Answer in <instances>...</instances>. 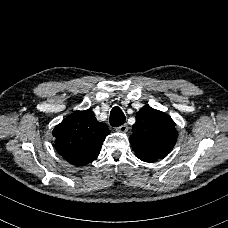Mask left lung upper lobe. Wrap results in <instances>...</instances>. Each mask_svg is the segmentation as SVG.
Masks as SVG:
<instances>
[{
  "instance_id": "1",
  "label": "left lung upper lobe",
  "mask_w": 228,
  "mask_h": 228,
  "mask_svg": "<svg viewBox=\"0 0 228 228\" xmlns=\"http://www.w3.org/2000/svg\"><path fill=\"white\" fill-rule=\"evenodd\" d=\"M129 141L136 157L155 162L170 153L178 132L174 121L165 113L145 105L136 115Z\"/></svg>"
}]
</instances>
